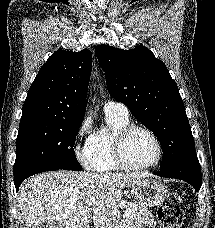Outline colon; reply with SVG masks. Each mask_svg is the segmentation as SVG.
Returning a JSON list of instances; mask_svg holds the SVG:
<instances>
[{"label": "colon", "instance_id": "obj_1", "mask_svg": "<svg viewBox=\"0 0 215 228\" xmlns=\"http://www.w3.org/2000/svg\"><path fill=\"white\" fill-rule=\"evenodd\" d=\"M179 214L178 202L174 198H168L158 209L159 228H175Z\"/></svg>", "mask_w": 215, "mask_h": 228}]
</instances>
